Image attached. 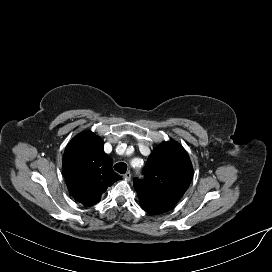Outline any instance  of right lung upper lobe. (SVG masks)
<instances>
[{
  "instance_id": "right-lung-upper-lobe-1",
  "label": "right lung upper lobe",
  "mask_w": 272,
  "mask_h": 272,
  "mask_svg": "<svg viewBox=\"0 0 272 272\" xmlns=\"http://www.w3.org/2000/svg\"><path fill=\"white\" fill-rule=\"evenodd\" d=\"M104 142L93 132L76 135L63 156V172L72 197L85 206L96 204L103 192L121 179L113 161L103 150Z\"/></svg>"
}]
</instances>
